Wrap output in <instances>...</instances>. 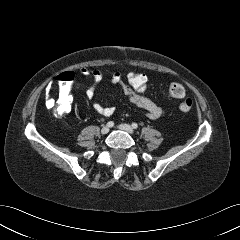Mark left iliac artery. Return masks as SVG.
I'll list each match as a JSON object with an SVG mask.
<instances>
[{
    "label": "left iliac artery",
    "instance_id": "left-iliac-artery-1",
    "mask_svg": "<svg viewBox=\"0 0 240 240\" xmlns=\"http://www.w3.org/2000/svg\"><path fill=\"white\" fill-rule=\"evenodd\" d=\"M132 127H133L134 129H137V128H138L137 123H132Z\"/></svg>",
    "mask_w": 240,
    "mask_h": 240
}]
</instances>
